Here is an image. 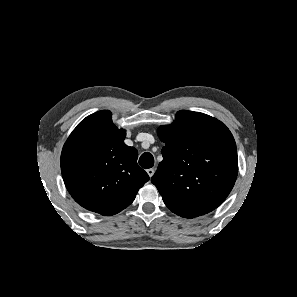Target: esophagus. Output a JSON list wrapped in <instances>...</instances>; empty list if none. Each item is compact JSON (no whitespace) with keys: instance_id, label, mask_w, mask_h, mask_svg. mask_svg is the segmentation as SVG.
I'll list each match as a JSON object with an SVG mask.
<instances>
[{"instance_id":"34e87169","label":"esophagus","mask_w":297,"mask_h":297,"mask_svg":"<svg viewBox=\"0 0 297 297\" xmlns=\"http://www.w3.org/2000/svg\"><path fill=\"white\" fill-rule=\"evenodd\" d=\"M154 169L153 168H150V169H147V174L149 175V177H152L153 174H154Z\"/></svg>"}]
</instances>
